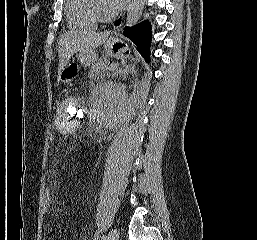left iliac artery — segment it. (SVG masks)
I'll return each mask as SVG.
<instances>
[{
	"mask_svg": "<svg viewBox=\"0 0 257 240\" xmlns=\"http://www.w3.org/2000/svg\"><path fill=\"white\" fill-rule=\"evenodd\" d=\"M100 232L97 231L94 235V240H99Z\"/></svg>",
	"mask_w": 257,
	"mask_h": 240,
	"instance_id": "44dca946",
	"label": "left iliac artery"
}]
</instances>
